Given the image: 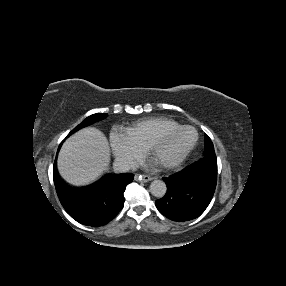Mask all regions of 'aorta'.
I'll return each instance as SVG.
<instances>
[{
  "instance_id": "obj_1",
  "label": "aorta",
  "mask_w": 286,
  "mask_h": 286,
  "mask_svg": "<svg viewBox=\"0 0 286 286\" xmlns=\"http://www.w3.org/2000/svg\"><path fill=\"white\" fill-rule=\"evenodd\" d=\"M167 191L166 183L162 180H154L150 184V192L157 198H162Z\"/></svg>"
}]
</instances>
